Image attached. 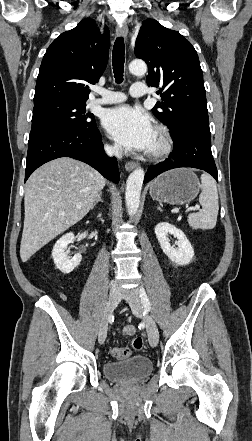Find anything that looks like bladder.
I'll use <instances>...</instances> for the list:
<instances>
[{
  "instance_id": "31cf9c89",
  "label": "bladder",
  "mask_w": 252,
  "mask_h": 441,
  "mask_svg": "<svg viewBox=\"0 0 252 441\" xmlns=\"http://www.w3.org/2000/svg\"><path fill=\"white\" fill-rule=\"evenodd\" d=\"M153 369L152 361L142 355L130 356L118 362H105L104 376L117 383H137L148 377Z\"/></svg>"
}]
</instances>
